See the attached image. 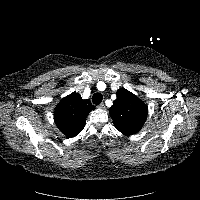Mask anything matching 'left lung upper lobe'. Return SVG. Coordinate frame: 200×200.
I'll use <instances>...</instances> for the list:
<instances>
[{
  "label": "left lung upper lobe",
  "mask_w": 200,
  "mask_h": 200,
  "mask_svg": "<svg viewBox=\"0 0 200 200\" xmlns=\"http://www.w3.org/2000/svg\"><path fill=\"white\" fill-rule=\"evenodd\" d=\"M117 99L110 108V115L117 130L129 136L138 132L146 121L147 105L137 96L124 88H120Z\"/></svg>",
  "instance_id": "5c2ea615"
}]
</instances>
